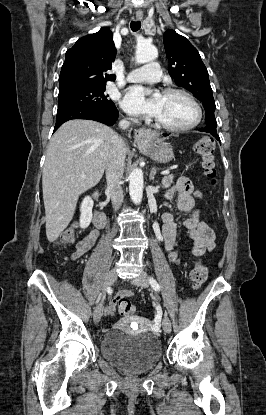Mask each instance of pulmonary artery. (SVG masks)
Masks as SVG:
<instances>
[{
	"instance_id": "obj_1",
	"label": "pulmonary artery",
	"mask_w": 266,
	"mask_h": 415,
	"mask_svg": "<svg viewBox=\"0 0 266 415\" xmlns=\"http://www.w3.org/2000/svg\"><path fill=\"white\" fill-rule=\"evenodd\" d=\"M161 77L160 66L157 62L148 63L130 71L127 75L129 82H157Z\"/></svg>"
}]
</instances>
